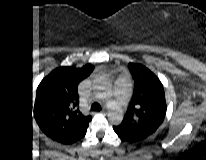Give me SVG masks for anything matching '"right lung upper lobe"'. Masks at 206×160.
Listing matches in <instances>:
<instances>
[{
    "instance_id": "cb5924a9",
    "label": "right lung upper lobe",
    "mask_w": 206,
    "mask_h": 160,
    "mask_svg": "<svg viewBox=\"0 0 206 160\" xmlns=\"http://www.w3.org/2000/svg\"><path fill=\"white\" fill-rule=\"evenodd\" d=\"M80 78L70 68L52 72L38 87L35 118L41 130L53 140L72 143L81 139L91 116L78 109Z\"/></svg>"
}]
</instances>
